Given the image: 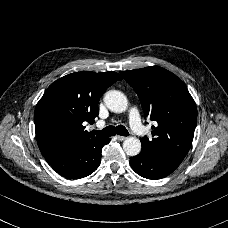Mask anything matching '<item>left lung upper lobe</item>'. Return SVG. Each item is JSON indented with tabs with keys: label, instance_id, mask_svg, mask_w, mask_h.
Listing matches in <instances>:
<instances>
[{
	"label": "left lung upper lobe",
	"instance_id": "left-lung-upper-lobe-1",
	"mask_svg": "<svg viewBox=\"0 0 228 228\" xmlns=\"http://www.w3.org/2000/svg\"><path fill=\"white\" fill-rule=\"evenodd\" d=\"M138 94L145 116L157 122L142 148L157 156L184 159L193 141L197 108L186 85L170 71L151 66L120 72Z\"/></svg>",
	"mask_w": 228,
	"mask_h": 228
}]
</instances>
